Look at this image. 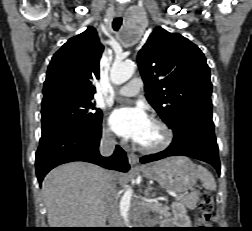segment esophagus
I'll return each instance as SVG.
<instances>
[{"mask_svg":"<svg viewBox=\"0 0 252 231\" xmlns=\"http://www.w3.org/2000/svg\"><path fill=\"white\" fill-rule=\"evenodd\" d=\"M118 15H121V12L118 13ZM128 161L131 165H137L139 159L138 156L134 153H128L127 154Z\"/></svg>","mask_w":252,"mask_h":231,"instance_id":"obj_1","label":"esophagus"}]
</instances>
